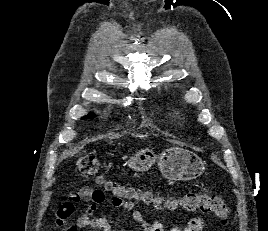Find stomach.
<instances>
[{
  "label": "stomach",
  "instance_id": "obj_1",
  "mask_svg": "<svg viewBox=\"0 0 268 231\" xmlns=\"http://www.w3.org/2000/svg\"><path fill=\"white\" fill-rule=\"evenodd\" d=\"M155 163L161 174L170 181L192 180L205 170V162L197 154L181 147L167 148L158 155L146 148L128 160V166L137 172L148 171Z\"/></svg>",
  "mask_w": 268,
  "mask_h": 231
}]
</instances>
